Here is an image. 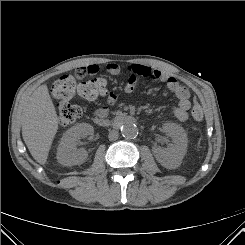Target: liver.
Instances as JSON below:
<instances>
[{
    "mask_svg": "<svg viewBox=\"0 0 245 245\" xmlns=\"http://www.w3.org/2000/svg\"><path fill=\"white\" fill-rule=\"evenodd\" d=\"M58 130V117L46 84L39 86L25 105L22 137L33 158L45 164Z\"/></svg>",
    "mask_w": 245,
    "mask_h": 245,
    "instance_id": "liver-1",
    "label": "liver"
}]
</instances>
